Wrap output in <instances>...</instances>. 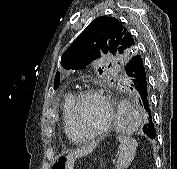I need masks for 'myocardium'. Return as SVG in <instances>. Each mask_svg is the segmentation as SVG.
<instances>
[{"instance_id": "obj_1", "label": "myocardium", "mask_w": 177, "mask_h": 169, "mask_svg": "<svg viewBox=\"0 0 177 169\" xmlns=\"http://www.w3.org/2000/svg\"><path fill=\"white\" fill-rule=\"evenodd\" d=\"M89 96L96 97L102 102V104L104 105L105 111H106V118H105L103 125L97 131L91 134L85 135V136H80L77 133L78 132V122H77L78 108H79L81 101L84 98L89 97ZM70 118H71L73 130L76 134L77 141H83L87 139H93L95 137L101 136L104 133H106L109 130L111 123H112L113 111H112V107L110 105L109 99L103 92H101L100 90L96 88L86 87V88L79 90L75 94V98L71 106Z\"/></svg>"}]
</instances>
